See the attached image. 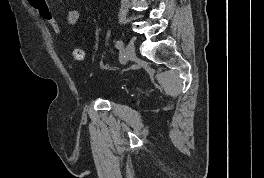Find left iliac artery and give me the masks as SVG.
Returning <instances> with one entry per match:
<instances>
[{"mask_svg":"<svg viewBox=\"0 0 264 178\" xmlns=\"http://www.w3.org/2000/svg\"><path fill=\"white\" fill-rule=\"evenodd\" d=\"M117 49H122L123 48V42L121 40H118L115 44Z\"/></svg>","mask_w":264,"mask_h":178,"instance_id":"obj_1","label":"left iliac artery"}]
</instances>
